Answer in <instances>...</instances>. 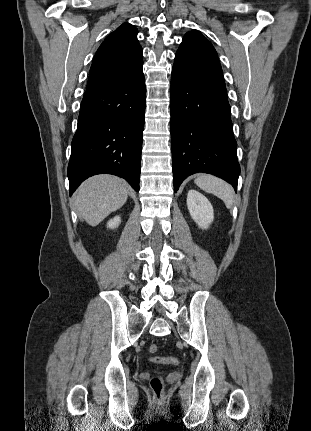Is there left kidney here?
Segmentation results:
<instances>
[{"label": "left kidney", "instance_id": "obj_1", "mask_svg": "<svg viewBox=\"0 0 311 431\" xmlns=\"http://www.w3.org/2000/svg\"><path fill=\"white\" fill-rule=\"evenodd\" d=\"M187 208L192 219L202 229H207L208 225L214 219L213 206H211L205 196H202L196 190H189L187 194Z\"/></svg>", "mask_w": 311, "mask_h": 431}]
</instances>
